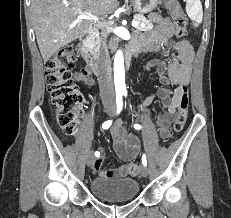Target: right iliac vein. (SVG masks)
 <instances>
[{"instance_id":"1","label":"right iliac vein","mask_w":231,"mask_h":218,"mask_svg":"<svg viewBox=\"0 0 231 218\" xmlns=\"http://www.w3.org/2000/svg\"><path fill=\"white\" fill-rule=\"evenodd\" d=\"M104 111L106 112V114L111 115L114 112V107L111 105H106L104 107ZM94 161H95V156L93 154V151H90L86 159L87 165L91 166L94 163Z\"/></svg>"}]
</instances>
